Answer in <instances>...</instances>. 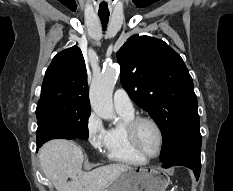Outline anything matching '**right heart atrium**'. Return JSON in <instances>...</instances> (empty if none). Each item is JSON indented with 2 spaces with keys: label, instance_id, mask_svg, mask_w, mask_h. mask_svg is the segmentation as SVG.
<instances>
[{
  "label": "right heart atrium",
  "instance_id": "right-heart-atrium-1",
  "mask_svg": "<svg viewBox=\"0 0 233 191\" xmlns=\"http://www.w3.org/2000/svg\"><path fill=\"white\" fill-rule=\"evenodd\" d=\"M86 132L89 143L96 150H102L106 147L107 130L100 117L95 113H91L87 119Z\"/></svg>",
  "mask_w": 233,
  "mask_h": 191
}]
</instances>
